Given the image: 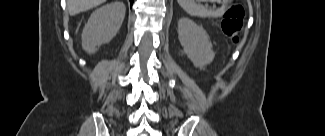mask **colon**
<instances>
[{"mask_svg": "<svg viewBox=\"0 0 325 136\" xmlns=\"http://www.w3.org/2000/svg\"><path fill=\"white\" fill-rule=\"evenodd\" d=\"M244 9L239 4H229L222 21L223 31L233 38L235 43L240 41L238 33L243 27Z\"/></svg>", "mask_w": 325, "mask_h": 136, "instance_id": "1", "label": "colon"}]
</instances>
